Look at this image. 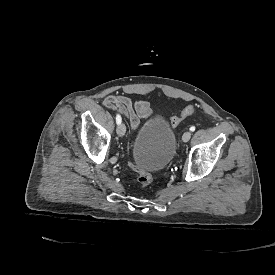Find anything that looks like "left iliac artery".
<instances>
[{
	"label": "left iliac artery",
	"mask_w": 275,
	"mask_h": 275,
	"mask_svg": "<svg viewBox=\"0 0 275 275\" xmlns=\"http://www.w3.org/2000/svg\"><path fill=\"white\" fill-rule=\"evenodd\" d=\"M190 131L191 132L195 131V127L194 126L190 127Z\"/></svg>",
	"instance_id": "left-iliac-artery-1"
}]
</instances>
